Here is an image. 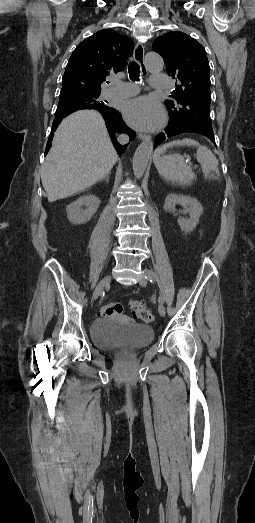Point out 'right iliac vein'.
<instances>
[{
  "instance_id": "63e3f726",
  "label": "right iliac vein",
  "mask_w": 255,
  "mask_h": 523,
  "mask_svg": "<svg viewBox=\"0 0 255 523\" xmlns=\"http://www.w3.org/2000/svg\"><path fill=\"white\" fill-rule=\"evenodd\" d=\"M111 281V276H106L105 278H103L100 283L97 285V287L95 288V291H94V294H93V299H97V297L101 294V292L103 291V288L108 285Z\"/></svg>"
}]
</instances>
